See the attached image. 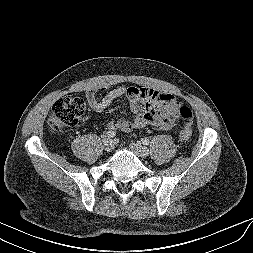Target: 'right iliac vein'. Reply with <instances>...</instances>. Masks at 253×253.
<instances>
[{"label": "right iliac vein", "instance_id": "right-iliac-vein-1", "mask_svg": "<svg viewBox=\"0 0 253 253\" xmlns=\"http://www.w3.org/2000/svg\"><path fill=\"white\" fill-rule=\"evenodd\" d=\"M103 147L107 152H110L114 149V142L110 139L104 140Z\"/></svg>", "mask_w": 253, "mask_h": 253}]
</instances>
